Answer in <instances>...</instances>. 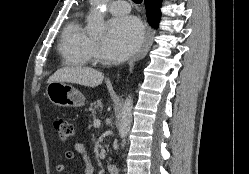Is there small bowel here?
Masks as SVG:
<instances>
[{
  "label": "small bowel",
  "mask_w": 249,
  "mask_h": 174,
  "mask_svg": "<svg viewBox=\"0 0 249 174\" xmlns=\"http://www.w3.org/2000/svg\"><path fill=\"white\" fill-rule=\"evenodd\" d=\"M80 155L83 164H84V174H93L94 173V169L92 166V163L90 161L89 155L86 151L85 146L82 143H76L74 145L73 150H68L65 153V157L68 160H72L76 157V155ZM66 170V166L64 164H58L56 166V171L59 173H63Z\"/></svg>",
  "instance_id": "obj_1"
}]
</instances>
